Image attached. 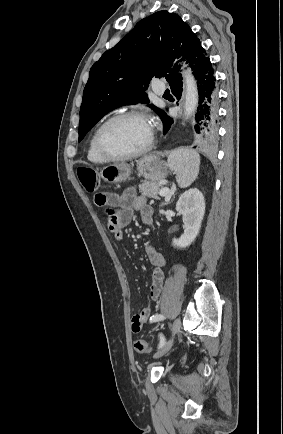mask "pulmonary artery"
I'll use <instances>...</instances> for the list:
<instances>
[{
  "label": "pulmonary artery",
  "instance_id": "obj_1",
  "mask_svg": "<svg viewBox=\"0 0 283 434\" xmlns=\"http://www.w3.org/2000/svg\"><path fill=\"white\" fill-rule=\"evenodd\" d=\"M153 92L157 95H162L165 92V85L162 82L154 83Z\"/></svg>",
  "mask_w": 283,
  "mask_h": 434
}]
</instances>
